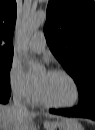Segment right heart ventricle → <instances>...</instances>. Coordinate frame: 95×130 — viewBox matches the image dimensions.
<instances>
[{"mask_svg":"<svg viewBox=\"0 0 95 130\" xmlns=\"http://www.w3.org/2000/svg\"><path fill=\"white\" fill-rule=\"evenodd\" d=\"M32 100H33L34 102H36V103H39V102H40L39 99H38V97H37V93L34 94Z\"/></svg>","mask_w":95,"mask_h":130,"instance_id":"e07e8e85","label":"right heart ventricle"}]
</instances>
